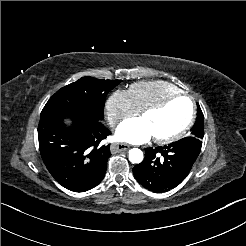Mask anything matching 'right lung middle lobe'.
Wrapping results in <instances>:
<instances>
[{"label":"right lung middle lobe","instance_id":"dd1d6c3e","mask_svg":"<svg viewBox=\"0 0 246 246\" xmlns=\"http://www.w3.org/2000/svg\"><path fill=\"white\" fill-rule=\"evenodd\" d=\"M121 81L83 77L58 90L44 106L41 118L70 116L81 121H101L106 95Z\"/></svg>","mask_w":246,"mask_h":246}]
</instances>
